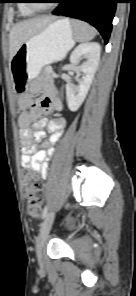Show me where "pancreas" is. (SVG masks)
<instances>
[{
  "label": "pancreas",
  "mask_w": 136,
  "mask_h": 296,
  "mask_svg": "<svg viewBox=\"0 0 136 296\" xmlns=\"http://www.w3.org/2000/svg\"><path fill=\"white\" fill-rule=\"evenodd\" d=\"M51 71H52V68L50 66H47L43 70V75L48 78H51V75H50Z\"/></svg>",
  "instance_id": "1"
}]
</instances>
